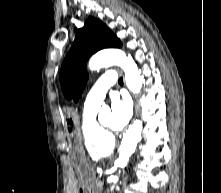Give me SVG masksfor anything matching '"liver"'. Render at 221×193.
Segmentation results:
<instances>
[{
  "mask_svg": "<svg viewBox=\"0 0 221 193\" xmlns=\"http://www.w3.org/2000/svg\"><path fill=\"white\" fill-rule=\"evenodd\" d=\"M77 191V181L73 178L71 181V192L70 193H76Z\"/></svg>",
  "mask_w": 221,
  "mask_h": 193,
  "instance_id": "1",
  "label": "liver"
}]
</instances>
